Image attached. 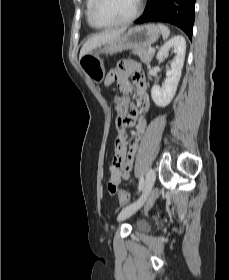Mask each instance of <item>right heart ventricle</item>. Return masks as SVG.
Here are the masks:
<instances>
[{"instance_id": "1", "label": "right heart ventricle", "mask_w": 229, "mask_h": 280, "mask_svg": "<svg viewBox=\"0 0 229 280\" xmlns=\"http://www.w3.org/2000/svg\"><path fill=\"white\" fill-rule=\"evenodd\" d=\"M93 2H94V0H87V1H86L85 15H86V20H87L89 26L95 28V27L92 25L91 20H90V11H91Z\"/></svg>"}]
</instances>
